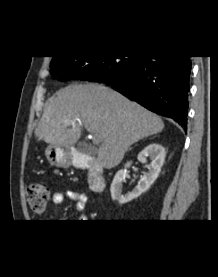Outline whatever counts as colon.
<instances>
[{
    "mask_svg": "<svg viewBox=\"0 0 218 277\" xmlns=\"http://www.w3.org/2000/svg\"><path fill=\"white\" fill-rule=\"evenodd\" d=\"M50 198V191L43 184H31L27 189V200L30 208L37 213L45 210Z\"/></svg>",
    "mask_w": 218,
    "mask_h": 277,
    "instance_id": "1",
    "label": "colon"
}]
</instances>
